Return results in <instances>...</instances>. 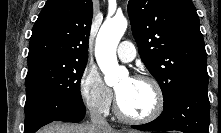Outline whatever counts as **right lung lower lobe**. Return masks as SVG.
I'll return each instance as SVG.
<instances>
[{
  "label": "right lung lower lobe",
  "mask_w": 221,
  "mask_h": 133,
  "mask_svg": "<svg viewBox=\"0 0 221 133\" xmlns=\"http://www.w3.org/2000/svg\"><path fill=\"white\" fill-rule=\"evenodd\" d=\"M26 95L24 133H35L40 127L52 121L76 123L81 121L86 113L82 101L53 100L36 91L28 92Z\"/></svg>",
  "instance_id": "right-lung-lower-lobe-1"
}]
</instances>
